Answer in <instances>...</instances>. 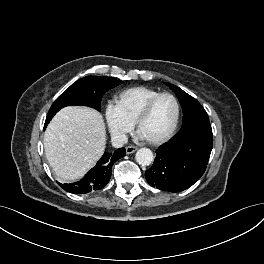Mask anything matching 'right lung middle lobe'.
<instances>
[{
  "label": "right lung middle lobe",
  "instance_id": "right-lung-middle-lobe-1",
  "mask_svg": "<svg viewBox=\"0 0 264 264\" xmlns=\"http://www.w3.org/2000/svg\"><path fill=\"white\" fill-rule=\"evenodd\" d=\"M122 83L111 77L87 76L79 79L66 89L52 104L45 124L63 107L69 105H84L100 110L102 96L109 89Z\"/></svg>",
  "mask_w": 264,
  "mask_h": 264
}]
</instances>
